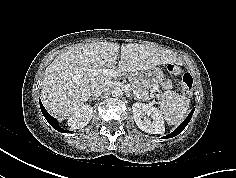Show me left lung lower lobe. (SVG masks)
I'll use <instances>...</instances> for the list:
<instances>
[{"label":"left lung lower lobe","mask_w":236,"mask_h":178,"mask_svg":"<svg viewBox=\"0 0 236 178\" xmlns=\"http://www.w3.org/2000/svg\"><path fill=\"white\" fill-rule=\"evenodd\" d=\"M194 109L189 113L188 117L177 127V129H175L171 134L163 137L164 139L166 138H171L174 136H177L180 132H182L184 130V128L187 126V124L189 123L192 115H193Z\"/></svg>","instance_id":"obj_1"}]
</instances>
